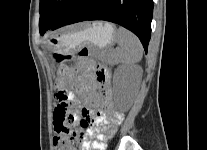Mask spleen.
<instances>
[{
    "label": "spleen",
    "instance_id": "1",
    "mask_svg": "<svg viewBox=\"0 0 207 150\" xmlns=\"http://www.w3.org/2000/svg\"><path fill=\"white\" fill-rule=\"evenodd\" d=\"M118 50L117 60L125 65L138 63L143 56V47L140 40L130 31L119 27L116 33Z\"/></svg>",
    "mask_w": 207,
    "mask_h": 150
}]
</instances>
